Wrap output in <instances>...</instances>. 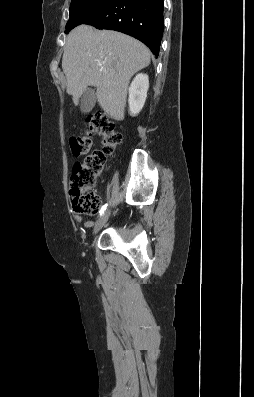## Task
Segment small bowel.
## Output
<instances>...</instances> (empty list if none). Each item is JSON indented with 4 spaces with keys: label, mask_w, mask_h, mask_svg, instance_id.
I'll return each mask as SVG.
<instances>
[{
    "label": "small bowel",
    "mask_w": 254,
    "mask_h": 397,
    "mask_svg": "<svg viewBox=\"0 0 254 397\" xmlns=\"http://www.w3.org/2000/svg\"><path fill=\"white\" fill-rule=\"evenodd\" d=\"M75 219H76V221H78V222H83L84 226H86V227H91V226L93 225V222H92V221H88V220L83 221L82 217L79 216V215H76V216H75Z\"/></svg>",
    "instance_id": "small-bowel-1"
}]
</instances>
